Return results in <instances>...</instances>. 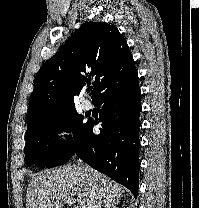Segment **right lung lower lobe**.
<instances>
[{
	"label": "right lung lower lobe",
	"mask_w": 199,
	"mask_h": 208,
	"mask_svg": "<svg viewBox=\"0 0 199 208\" xmlns=\"http://www.w3.org/2000/svg\"><path fill=\"white\" fill-rule=\"evenodd\" d=\"M93 103L103 106L99 115L100 134L92 131L97 121H88L73 156L77 155L94 169L126 186L136 197L141 111L138 75L105 91Z\"/></svg>",
	"instance_id": "98d812e1"
}]
</instances>
